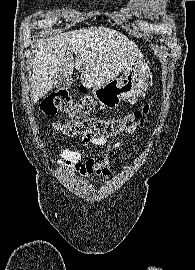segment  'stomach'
Segmentation results:
<instances>
[{
	"mask_svg": "<svg viewBox=\"0 0 195 270\" xmlns=\"http://www.w3.org/2000/svg\"><path fill=\"white\" fill-rule=\"evenodd\" d=\"M148 67L144 61H136L126 69L120 79H113L93 88L95 99L110 109L119 106L122 100L138 98L147 86Z\"/></svg>",
	"mask_w": 195,
	"mask_h": 270,
	"instance_id": "1",
	"label": "stomach"
}]
</instances>
